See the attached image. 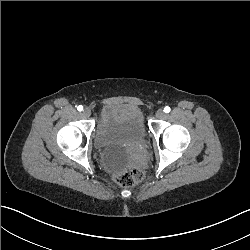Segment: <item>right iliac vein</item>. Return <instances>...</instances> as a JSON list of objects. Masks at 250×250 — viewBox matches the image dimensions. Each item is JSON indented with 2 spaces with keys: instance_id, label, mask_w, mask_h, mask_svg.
Listing matches in <instances>:
<instances>
[{
  "instance_id": "1",
  "label": "right iliac vein",
  "mask_w": 250,
  "mask_h": 250,
  "mask_svg": "<svg viewBox=\"0 0 250 250\" xmlns=\"http://www.w3.org/2000/svg\"><path fill=\"white\" fill-rule=\"evenodd\" d=\"M83 114L85 117H90L91 116V110L89 108H85L83 110Z\"/></svg>"
}]
</instances>
